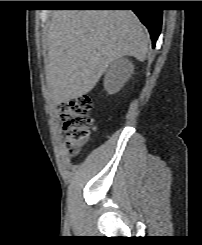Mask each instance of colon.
<instances>
[{"label": "colon", "instance_id": "5ec220e1", "mask_svg": "<svg viewBox=\"0 0 202 245\" xmlns=\"http://www.w3.org/2000/svg\"><path fill=\"white\" fill-rule=\"evenodd\" d=\"M91 108V99L86 96L62 103L58 108L71 156L77 155L88 140L93 125Z\"/></svg>", "mask_w": 202, "mask_h": 245}]
</instances>
